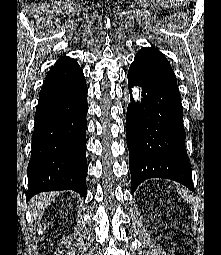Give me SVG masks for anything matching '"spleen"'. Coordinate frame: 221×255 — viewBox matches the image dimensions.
<instances>
[{
    "label": "spleen",
    "mask_w": 221,
    "mask_h": 255,
    "mask_svg": "<svg viewBox=\"0 0 221 255\" xmlns=\"http://www.w3.org/2000/svg\"><path fill=\"white\" fill-rule=\"evenodd\" d=\"M177 192L182 196V198L188 202L191 203L193 201L192 196L189 194V191L187 189L176 187Z\"/></svg>",
    "instance_id": "3e777b00"
}]
</instances>
